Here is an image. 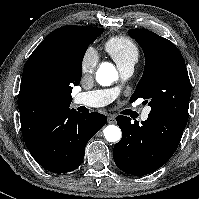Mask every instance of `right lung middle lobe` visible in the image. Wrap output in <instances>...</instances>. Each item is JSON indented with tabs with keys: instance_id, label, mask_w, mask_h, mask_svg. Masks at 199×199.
<instances>
[{
	"instance_id": "right-lung-middle-lobe-1",
	"label": "right lung middle lobe",
	"mask_w": 199,
	"mask_h": 199,
	"mask_svg": "<svg viewBox=\"0 0 199 199\" xmlns=\"http://www.w3.org/2000/svg\"><path fill=\"white\" fill-rule=\"evenodd\" d=\"M103 33V28L77 27L67 48L60 55L55 63V68L62 74H69L76 71L82 74V59L89 44Z\"/></svg>"
}]
</instances>
